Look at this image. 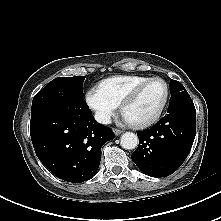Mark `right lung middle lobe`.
I'll return each mask as SVG.
<instances>
[{"label":"right lung middle lobe","instance_id":"1","mask_svg":"<svg viewBox=\"0 0 221 221\" xmlns=\"http://www.w3.org/2000/svg\"><path fill=\"white\" fill-rule=\"evenodd\" d=\"M84 79L85 76H75L52 80L34 96L31 112L54 103L83 100Z\"/></svg>","mask_w":221,"mask_h":221}]
</instances>
